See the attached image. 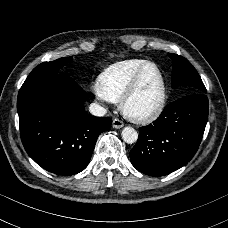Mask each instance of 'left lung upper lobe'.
I'll return each mask as SVG.
<instances>
[{"mask_svg": "<svg viewBox=\"0 0 228 228\" xmlns=\"http://www.w3.org/2000/svg\"><path fill=\"white\" fill-rule=\"evenodd\" d=\"M173 61L172 88L186 87L190 94L206 93V88L192 64L182 56L168 54Z\"/></svg>", "mask_w": 228, "mask_h": 228, "instance_id": "5c2ea615", "label": "left lung upper lobe"}]
</instances>
